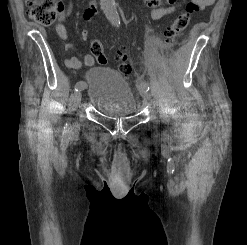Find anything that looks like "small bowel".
Masks as SVG:
<instances>
[{"label":"small bowel","mask_w":247,"mask_h":245,"mask_svg":"<svg viewBox=\"0 0 247 245\" xmlns=\"http://www.w3.org/2000/svg\"><path fill=\"white\" fill-rule=\"evenodd\" d=\"M145 4L152 8L151 17L154 20H159L166 15L174 13L181 5V0H144ZM199 5L200 9H204L208 6H211L215 0H195ZM72 12V3L69 2L67 7H60L59 13L60 18L56 23L54 30L56 35L62 41L66 50L72 48V45L68 43V34L64 26V20L71 15ZM97 13V6L94 2L84 11L83 18L86 22H90L91 19ZM81 37L83 40L88 38V30H83L81 32ZM95 57L93 54H86L82 60H79L76 57L66 59L65 64L72 69H79L82 65L92 66L94 64Z\"/></svg>","instance_id":"c3829d8e"}]
</instances>
